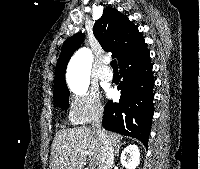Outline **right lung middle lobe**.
<instances>
[{"label":"right lung middle lobe","instance_id":"right-lung-middle-lobe-1","mask_svg":"<svg viewBox=\"0 0 200 169\" xmlns=\"http://www.w3.org/2000/svg\"><path fill=\"white\" fill-rule=\"evenodd\" d=\"M54 101L55 103L63 108V109H67L68 108V104H69V92H65V93H60V94H56L53 95Z\"/></svg>","mask_w":200,"mask_h":169}]
</instances>
